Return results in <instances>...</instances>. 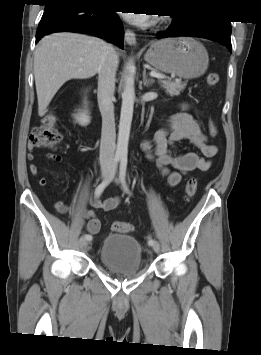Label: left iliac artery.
<instances>
[{
  "instance_id": "obj_1",
  "label": "left iliac artery",
  "mask_w": 261,
  "mask_h": 355,
  "mask_svg": "<svg viewBox=\"0 0 261 355\" xmlns=\"http://www.w3.org/2000/svg\"><path fill=\"white\" fill-rule=\"evenodd\" d=\"M126 168H127V157L126 156H122L121 157V163H120V171H119V179L122 183V186L124 188V191L128 194H130V191L126 185V181H125V176H126ZM155 243V241L152 238H149L148 240V244L150 246H152Z\"/></svg>"
}]
</instances>
